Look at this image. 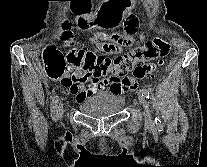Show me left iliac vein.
Returning a JSON list of instances; mask_svg holds the SVG:
<instances>
[{
	"instance_id": "1",
	"label": "left iliac vein",
	"mask_w": 207,
	"mask_h": 167,
	"mask_svg": "<svg viewBox=\"0 0 207 167\" xmlns=\"http://www.w3.org/2000/svg\"><path fill=\"white\" fill-rule=\"evenodd\" d=\"M139 102L142 105L143 109H144V117H145V121L147 123L153 124V121L150 117V115L148 114V105H147V100L143 95H139Z\"/></svg>"
}]
</instances>
